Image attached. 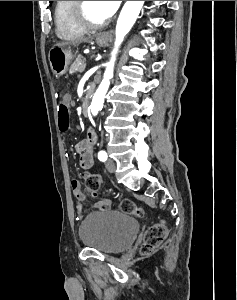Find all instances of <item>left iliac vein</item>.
I'll list each match as a JSON object with an SVG mask.
<instances>
[{
	"instance_id": "obj_1",
	"label": "left iliac vein",
	"mask_w": 237,
	"mask_h": 300,
	"mask_svg": "<svg viewBox=\"0 0 237 300\" xmlns=\"http://www.w3.org/2000/svg\"><path fill=\"white\" fill-rule=\"evenodd\" d=\"M106 168L110 173H113L116 168L115 162L112 159H108L106 161Z\"/></svg>"
}]
</instances>
